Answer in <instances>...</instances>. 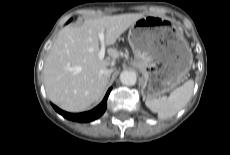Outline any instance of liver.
<instances>
[{
	"label": "liver",
	"mask_w": 230,
	"mask_h": 155,
	"mask_svg": "<svg viewBox=\"0 0 230 155\" xmlns=\"http://www.w3.org/2000/svg\"><path fill=\"white\" fill-rule=\"evenodd\" d=\"M144 14H120L87 19L81 26L60 30L44 64V85L48 98L63 110L81 112L98 104L105 95L109 58L100 60L99 33L105 45H112Z\"/></svg>",
	"instance_id": "obj_1"
}]
</instances>
